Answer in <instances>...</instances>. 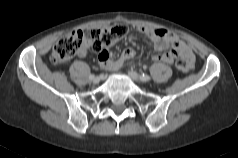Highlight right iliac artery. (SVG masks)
Listing matches in <instances>:
<instances>
[{
	"instance_id": "1",
	"label": "right iliac artery",
	"mask_w": 238,
	"mask_h": 158,
	"mask_svg": "<svg viewBox=\"0 0 238 158\" xmlns=\"http://www.w3.org/2000/svg\"><path fill=\"white\" fill-rule=\"evenodd\" d=\"M95 78V75L94 74H91L90 76H89V79L90 80H93Z\"/></svg>"
}]
</instances>
